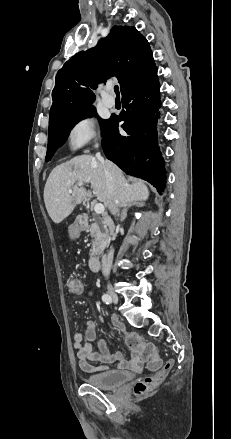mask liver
<instances>
[{"label": "liver", "mask_w": 231, "mask_h": 439, "mask_svg": "<svg viewBox=\"0 0 231 439\" xmlns=\"http://www.w3.org/2000/svg\"><path fill=\"white\" fill-rule=\"evenodd\" d=\"M108 163L115 179V198L119 206L148 199L149 191L143 181L138 180L130 185L123 172L115 164ZM87 183L91 184L93 196L112 211L113 198L108 192L103 165L94 156L80 155L56 166L46 181L44 202L54 223L62 222L86 198L87 192L79 184ZM68 190H72V193Z\"/></svg>", "instance_id": "6515ba94"}]
</instances>
